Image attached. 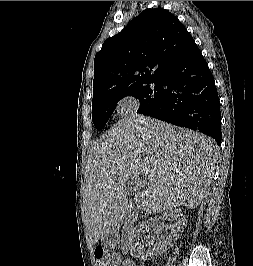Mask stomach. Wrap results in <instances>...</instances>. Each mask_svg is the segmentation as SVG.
I'll use <instances>...</instances> for the list:
<instances>
[{
	"label": "stomach",
	"instance_id": "stomach-1",
	"mask_svg": "<svg viewBox=\"0 0 253 266\" xmlns=\"http://www.w3.org/2000/svg\"><path fill=\"white\" fill-rule=\"evenodd\" d=\"M102 241H103L106 245H108V246L111 245L110 243H108V242L105 240V238H102Z\"/></svg>",
	"mask_w": 253,
	"mask_h": 266
}]
</instances>
